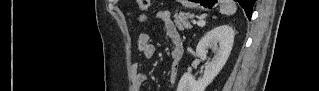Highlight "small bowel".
Returning <instances> with one entry per match:
<instances>
[{"mask_svg":"<svg viewBox=\"0 0 319 91\" xmlns=\"http://www.w3.org/2000/svg\"><path fill=\"white\" fill-rule=\"evenodd\" d=\"M156 18L162 23L165 33L172 42V48L170 51L171 63L168 70V76L170 81L175 82L179 73V61L183 56V42L179 31L177 30L171 14L169 11H159L156 14ZM138 49L141 56L145 59H150L156 52L155 45L150 41L148 35L141 34L137 40ZM132 78L134 90L139 91L145 85L147 81L146 75L141 71L139 63L132 65Z\"/></svg>","mask_w":319,"mask_h":91,"instance_id":"c3829d8e","label":"small bowel"}]
</instances>
